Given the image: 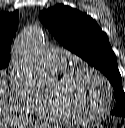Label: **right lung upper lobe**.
<instances>
[{"instance_id":"1","label":"right lung upper lobe","mask_w":125,"mask_h":128,"mask_svg":"<svg viewBox=\"0 0 125 128\" xmlns=\"http://www.w3.org/2000/svg\"><path fill=\"white\" fill-rule=\"evenodd\" d=\"M19 13L0 12V61L10 60L13 36L18 28Z\"/></svg>"}]
</instances>
